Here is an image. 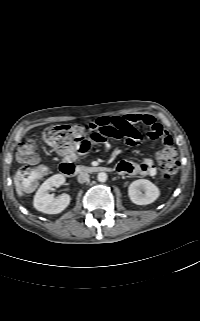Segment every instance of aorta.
<instances>
[{"mask_svg": "<svg viewBox=\"0 0 200 321\" xmlns=\"http://www.w3.org/2000/svg\"><path fill=\"white\" fill-rule=\"evenodd\" d=\"M107 174L105 172L98 173L97 179L99 182H105L107 180Z\"/></svg>", "mask_w": 200, "mask_h": 321, "instance_id": "obj_1", "label": "aorta"}]
</instances>
